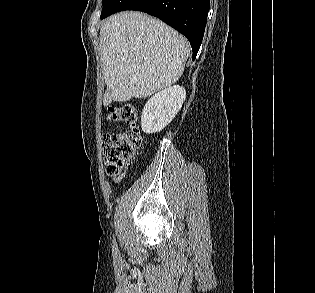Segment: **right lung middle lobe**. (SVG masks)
I'll return each mask as SVG.
<instances>
[{
  "label": "right lung middle lobe",
  "mask_w": 315,
  "mask_h": 293,
  "mask_svg": "<svg viewBox=\"0 0 315 293\" xmlns=\"http://www.w3.org/2000/svg\"><path fill=\"white\" fill-rule=\"evenodd\" d=\"M112 0H102V6H103V9H102V13H101V16L106 12L109 4L111 3Z\"/></svg>",
  "instance_id": "dd1d6c3e"
}]
</instances>
